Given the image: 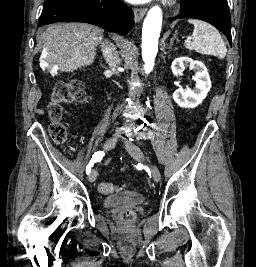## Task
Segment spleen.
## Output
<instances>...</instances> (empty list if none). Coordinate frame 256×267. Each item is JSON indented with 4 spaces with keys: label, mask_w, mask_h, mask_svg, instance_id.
I'll return each instance as SVG.
<instances>
[{
    "label": "spleen",
    "mask_w": 256,
    "mask_h": 267,
    "mask_svg": "<svg viewBox=\"0 0 256 267\" xmlns=\"http://www.w3.org/2000/svg\"><path fill=\"white\" fill-rule=\"evenodd\" d=\"M187 22L194 26L191 38L184 42L187 50H195L198 54L216 56L219 60L226 58L227 48L225 42H223L214 26L207 24V22H202V20H187Z\"/></svg>",
    "instance_id": "obj_1"
}]
</instances>
